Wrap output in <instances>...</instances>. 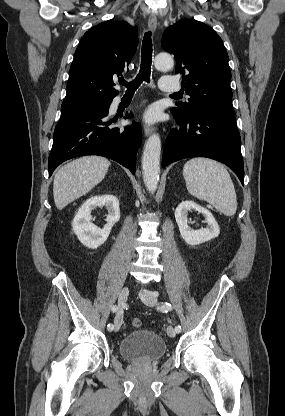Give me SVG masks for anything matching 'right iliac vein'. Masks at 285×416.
<instances>
[{"label":"right iliac vein","instance_id":"63e3f726","mask_svg":"<svg viewBox=\"0 0 285 416\" xmlns=\"http://www.w3.org/2000/svg\"><path fill=\"white\" fill-rule=\"evenodd\" d=\"M129 296V289L128 287H124L122 288L120 294H119V298H118V303L120 305V311L117 313V316L115 318V324H114V330L118 331L123 323V312H122V308L121 306L123 304L126 303L127 299Z\"/></svg>","mask_w":285,"mask_h":416}]
</instances>
